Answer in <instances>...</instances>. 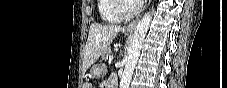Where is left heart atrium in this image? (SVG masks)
I'll return each instance as SVG.
<instances>
[{
	"instance_id": "1",
	"label": "left heart atrium",
	"mask_w": 227,
	"mask_h": 88,
	"mask_svg": "<svg viewBox=\"0 0 227 88\" xmlns=\"http://www.w3.org/2000/svg\"><path fill=\"white\" fill-rule=\"evenodd\" d=\"M133 4L136 6V7H139L143 4V0H133Z\"/></svg>"
}]
</instances>
